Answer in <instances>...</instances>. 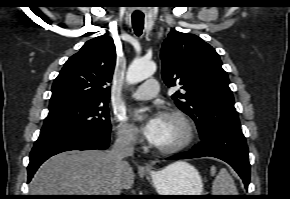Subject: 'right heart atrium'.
<instances>
[{"instance_id": "d8ad5b80", "label": "right heart atrium", "mask_w": 290, "mask_h": 199, "mask_svg": "<svg viewBox=\"0 0 290 199\" xmlns=\"http://www.w3.org/2000/svg\"><path fill=\"white\" fill-rule=\"evenodd\" d=\"M114 130L120 143L128 146H135L139 143L136 130L123 117H115Z\"/></svg>"}]
</instances>
